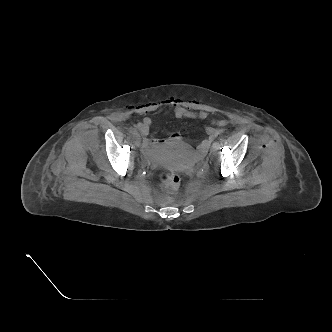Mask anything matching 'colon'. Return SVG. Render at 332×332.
<instances>
[{
  "label": "colon",
  "instance_id": "obj_1",
  "mask_svg": "<svg viewBox=\"0 0 332 332\" xmlns=\"http://www.w3.org/2000/svg\"><path fill=\"white\" fill-rule=\"evenodd\" d=\"M159 179L162 185L169 191H175L180 185V177L172 171L160 173Z\"/></svg>",
  "mask_w": 332,
  "mask_h": 332
}]
</instances>
